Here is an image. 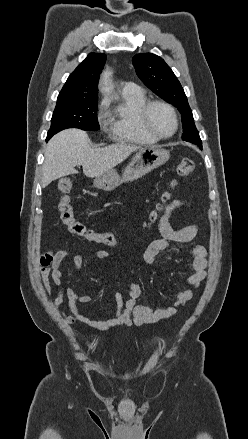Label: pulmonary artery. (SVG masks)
I'll use <instances>...</instances> for the list:
<instances>
[{
    "instance_id": "1",
    "label": "pulmonary artery",
    "mask_w": 248,
    "mask_h": 439,
    "mask_svg": "<svg viewBox=\"0 0 248 439\" xmlns=\"http://www.w3.org/2000/svg\"><path fill=\"white\" fill-rule=\"evenodd\" d=\"M136 89H138V86H136L134 83L132 82H124L122 84V92H133Z\"/></svg>"
}]
</instances>
